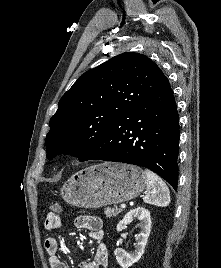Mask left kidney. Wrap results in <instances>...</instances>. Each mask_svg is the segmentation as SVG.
Wrapping results in <instances>:
<instances>
[{"label":"left kidney","mask_w":221,"mask_h":268,"mask_svg":"<svg viewBox=\"0 0 221 268\" xmlns=\"http://www.w3.org/2000/svg\"><path fill=\"white\" fill-rule=\"evenodd\" d=\"M137 218L140 221L141 231L136 238V246L134 251L127 253L121 248H116L114 255L118 264L122 268H129L134 263H136L144 253L145 246L151 230V216L150 212L143 208L138 207L136 209L130 210L124 218L118 223L117 231H122L126 226L133 220Z\"/></svg>","instance_id":"obj_1"}]
</instances>
